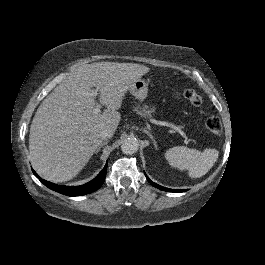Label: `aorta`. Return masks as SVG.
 Instances as JSON below:
<instances>
[{
  "instance_id": "762f6f07",
  "label": "aorta",
  "mask_w": 265,
  "mask_h": 265,
  "mask_svg": "<svg viewBox=\"0 0 265 265\" xmlns=\"http://www.w3.org/2000/svg\"><path fill=\"white\" fill-rule=\"evenodd\" d=\"M139 143L135 138H128L122 141L121 150L125 154H134L138 151Z\"/></svg>"
}]
</instances>
